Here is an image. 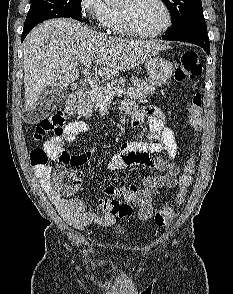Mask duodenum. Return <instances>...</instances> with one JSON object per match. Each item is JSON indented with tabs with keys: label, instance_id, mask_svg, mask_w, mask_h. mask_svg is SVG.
<instances>
[{
	"label": "duodenum",
	"instance_id": "410a0bca",
	"mask_svg": "<svg viewBox=\"0 0 233 294\" xmlns=\"http://www.w3.org/2000/svg\"><path fill=\"white\" fill-rule=\"evenodd\" d=\"M83 95V91H76L68 97L66 102V110L69 115L76 114L82 102Z\"/></svg>",
	"mask_w": 233,
	"mask_h": 294
}]
</instances>
